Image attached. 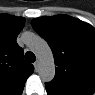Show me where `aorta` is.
Returning <instances> with one entry per match:
<instances>
[{"label":"aorta","instance_id":"762f6f07","mask_svg":"<svg viewBox=\"0 0 95 95\" xmlns=\"http://www.w3.org/2000/svg\"><path fill=\"white\" fill-rule=\"evenodd\" d=\"M23 38L37 57V70L41 80L51 82L55 76V63L48 43L32 32H25Z\"/></svg>","mask_w":95,"mask_h":95}]
</instances>
